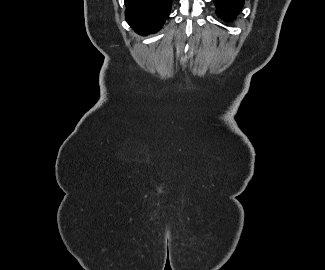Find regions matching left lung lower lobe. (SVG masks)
I'll list each match as a JSON object with an SVG mask.
<instances>
[{
  "label": "left lung lower lobe",
  "mask_w": 325,
  "mask_h": 270,
  "mask_svg": "<svg viewBox=\"0 0 325 270\" xmlns=\"http://www.w3.org/2000/svg\"><path fill=\"white\" fill-rule=\"evenodd\" d=\"M217 15L225 21L233 20L241 10L244 0H214Z\"/></svg>",
  "instance_id": "1"
}]
</instances>
